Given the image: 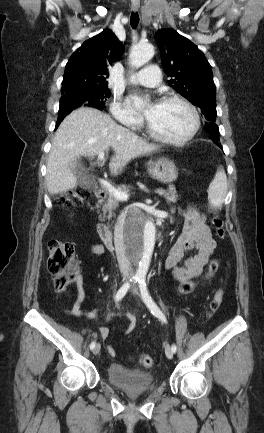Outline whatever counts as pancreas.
I'll return each instance as SVG.
<instances>
[{
	"label": "pancreas",
	"instance_id": "obj_1",
	"mask_svg": "<svg viewBox=\"0 0 264 433\" xmlns=\"http://www.w3.org/2000/svg\"><path fill=\"white\" fill-rule=\"evenodd\" d=\"M123 192H128V188H123ZM162 196L167 200V202H176L178 194L175 187L170 186L169 190L164 192ZM119 200H117L112 194H108L107 202L102 206V216L101 219H110L114 214V210L118 207Z\"/></svg>",
	"mask_w": 264,
	"mask_h": 433
}]
</instances>
